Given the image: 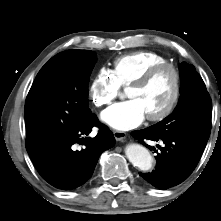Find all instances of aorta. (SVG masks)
<instances>
[{"mask_svg": "<svg viewBox=\"0 0 221 221\" xmlns=\"http://www.w3.org/2000/svg\"><path fill=\"white\" fill-rule=\"evenodd\" d=\"M125 154L133 166L143 171L151 169L153 158L144 146L135 143L128 144L125 148Z\"/></svg>", "mask_w": 221, "mask_h": 221, "instance_id": "1", "label": "aorta"}]
</instances>
